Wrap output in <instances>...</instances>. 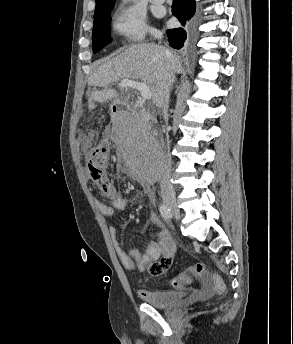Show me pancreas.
Wrapping results in <instances>:
<instances>
[{
    "instance_id": "obj_1",
    "label": "pancreas",
    "mask_w": 293,
    "mask_h": 344,
    "mask_svg": "<svg viewBox=\"0 0 293 344\" xmlns=\"http://www.w3.org/2000/svg\"><path fill=\"white\" fill-rule=\"evenodd\" d=\"M142 132V129L138 128L136 130H130L131 138L134 140L137 135Z\"/></svg>"
}]
</instances>
